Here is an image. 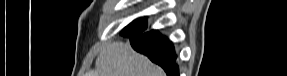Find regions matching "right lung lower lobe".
Here are the masks:
<instances>
[{"label": "right lung lower lobe", "mask_w": 287, "mask_h": 76, "mask_svg": "<svg viewBox=\"0 0 287 76\" xmlns=\"http://www.w3.org/2000/svg\"><path fill=\"white\" fill-rule=\"evenodd\" d=\"M132 47L148 56L154 63L160 65L168 76H178V66L175 64V50L172 43L157 31L145 34L131 35Z\"/></svg>", "instance_id": "obj_1"}]
</instances>
